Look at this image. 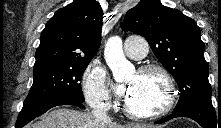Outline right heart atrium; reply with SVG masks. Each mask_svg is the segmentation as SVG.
Wrapping results in <instances>:
<instances>
[{"instance_id": "right-heart-atrium-1", "label": "right heart atrium", "mask_w": 221, "mask_h": 128, "mask_svg": "<svg viewBox=\"0 0 221 128\" xmlns=\"http://www.w3.org/2000/svg\"><path fill=\"white\" fill-rule=\"evenodd\" d=\"M83 91L87 103L95 107H107L110 104L107 89V71L98 61H93L83 75Z\"/></svg>"}]
</instances>
